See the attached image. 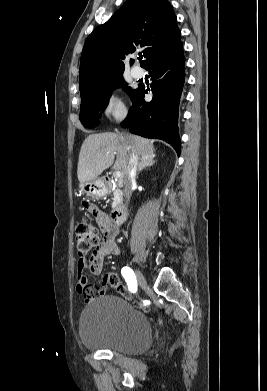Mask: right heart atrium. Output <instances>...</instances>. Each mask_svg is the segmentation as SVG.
Returning <instances> with one entry per match:
<instances>
[{
	"label": "right heart atrium",
	"instance_id": "right-heart-atrium-1",
	"mask_svg": "<svg viewBox=\"0 0 267 391\" xmlns=\"http://www.w3.org/2000/svg\"><path fill=\"white\" fill-rule=\"evenodd\" d=\"M103 114L107 118L121 120L127 114L126 106L118 94L110 96L103 108Z\"/></svg>",
	"mask_w": 267,
	"mask_h": 391
}]
</instances>
